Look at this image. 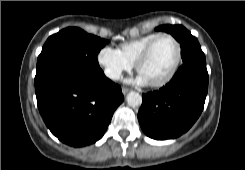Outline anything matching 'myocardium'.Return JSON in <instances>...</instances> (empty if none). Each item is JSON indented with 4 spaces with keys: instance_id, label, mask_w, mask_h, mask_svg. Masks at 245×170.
Wrapping results in <instances>:
<instances>
[{
    "instance_id": "myocardium-1",
    "label": "myocardium",
    "mask_w": 245,
    "mask_h": 170,
    "mask_svg": "<svg viewBox=\"0 0 245 170\" xmlns=\"http://www.w3.org/2000/svg\"><path fill=\"white\" fill-rule=\"evenodd\" d=\"M163 37H168L174 42L177 48V55L172 68L162 79L155 82H148V84L152 87H162L170 82L177 73L182 60V47L178 39L170 33H160L155 38H153L138 55L135 61V68L137 72L140 73V67L142 63L147 60L156 42Z\"/></svg>"
}]
</instances>
